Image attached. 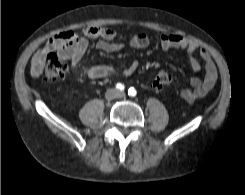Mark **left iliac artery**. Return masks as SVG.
Masks as SVG:
<instances>
[{"instance_id": "obj_1", "label": "left iliac artery", "mask_w": 245, "mask_h": 195, "mask_svg": "<svg viewBox=\"0 0 245 195\" xmlns=\"http://www.w3.org/2000/svg\"><path fill=\"white\" fill-rule=\"evenodd\" d=\"M136 93H137V92H136V90H135L134 88H132V87L129 88V90H128V95H129V96H132V97H133V96L136 95Z\"/></svg>"}]
</instances>
